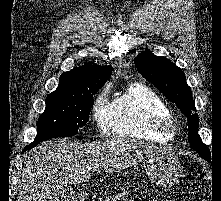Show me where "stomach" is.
I'll return each mask as SVG.
<instances>
[{
	"mask_svg": "<svg viewBox=\"0 0 221 201\" xmlns=\"http://www.w3.org/2000/svg\"><path fill=\"white\" fill-rule=\"evenodd\" d=\"M145 163L146 174L158 186H173L181 175V164L172 151L152 154Z\"/></svg>",
	"mask_w": 221,
	"mask_h": 201,
	"instance_id": "obj_1",
	"label": "stomach"
}]
</instances>
